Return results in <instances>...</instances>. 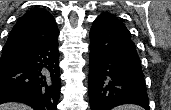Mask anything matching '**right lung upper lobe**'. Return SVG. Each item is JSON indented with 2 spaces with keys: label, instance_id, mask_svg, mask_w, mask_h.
Masks as SVG:
<instances>
[{
  "label": "right lung upper lobe",
  "instance_id": "1",
  "mask_svg": "<svg viewBox=\"0 0 171 110\" xmlns=\"http://www.w3.org/2000/svg\"><path fill=\"white\" fill-rule=\"evenodd\" d=\"M59 33L54 17L44 8H34L18 18L6 44L2 56L23 54L44 44Z\"/></svg>",
  "mask_w": 171,
  "mask_h": 110
}]
</instances>
